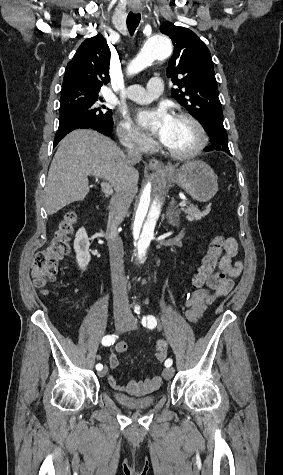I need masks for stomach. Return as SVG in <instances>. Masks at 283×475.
<instances>
[{"instance_id": "stomach-1", "label": "stomach", "mask_w": 283, "mask_h": 475, "mask_svg": "<svg viewBox=\"0 0 283 475\" xmlns=\"http://www.w3.org/2000/svg\"><path fill=\"white\" fill-rule=\"evenodd\" d=\"M166 172L155 170L156 174L183 188L193 200L209 202L218 192V178L212 168L202 160H188L180 168H164Z\"/></svg>"}]
</instances>
